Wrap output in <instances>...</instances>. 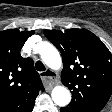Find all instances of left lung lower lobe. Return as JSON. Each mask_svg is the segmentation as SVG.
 <instances>
[{"mask_svg": "<svg viewBox=\"0 0 112 112\" xmlns=\"http://www.w3.org/2000/svg\"><path fill=\"white\" fill-rule=\"evenodd\" d=\"M61 112H95V111H89V110H81V109H75L70 107H64L60 109Z\"/></svg>", "mask_w": 112, "mask_h": 112, "instance_id": "obj_1", "label": "left lung lower lobe"}]
</instances>
